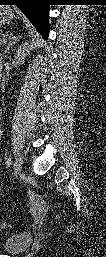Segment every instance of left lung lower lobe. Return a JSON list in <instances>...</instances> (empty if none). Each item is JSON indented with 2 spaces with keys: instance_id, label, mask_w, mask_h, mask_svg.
I'll list each match as a JSON object with an SVG mask.
<instances>
[{
  "instance_id": "1",
  "label": "left lung lower lobe",
  "mask_w": 106,
  "mask_h": 257,
  "mask_svg": "<svg viewBox=\"0 0 106 257\" xmlns=\"http://www.w3.org/2000/svg\"><path fill=\"white\" fill-rule=\"evenodd\" d=\"M47 2L48 0H0V4L17 5L45 39L49 32Z\"/></svg>"
}]
</instances>
